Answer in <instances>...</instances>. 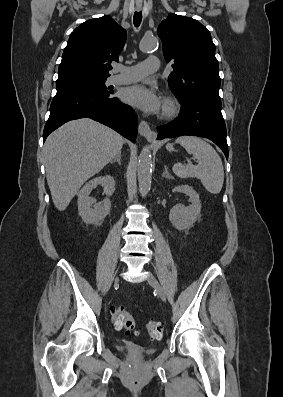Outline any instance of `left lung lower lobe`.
<instances>
[{
	"mask_svg": "<svg viewBox=\"0 0 283 397\" xmlns=\"http://www.w3.org/2000/svg\"><path fill=\"white\" fill-rule=\"evenodd\" d=\"M181 109L182 112L177 119L157 127L158 139L182 135L208 138L221 148L228 159L227 132L221 106L202 100H192L182 104Z\"/></svg>",
	"mask_w": 283,
	"mask_h": 397,
	"instance_id": "1",
	"label": "left lung lower lobe"
}]
</instances>
